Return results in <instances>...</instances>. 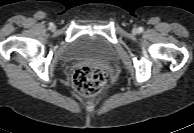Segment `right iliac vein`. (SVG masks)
I'll return each instance as SVG.
<instances>
[{"label": "right iliac vein", "mask_w": 194, "mask_h": 133, "mask_svg": "<svg viewBox=\"0 0 194 133\" xmlns=\"http://www.w3.org/2000/svg\"><path fill=\"white\" fill-rule=\"evenodd\" d=\"M51 29H52V30H55V29H56V26H55V25H53V26L51 27Z\"/></svg>", "instance_id": "obj_1"}]
</instances>
